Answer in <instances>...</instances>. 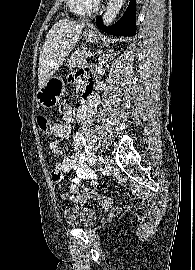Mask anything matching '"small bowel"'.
<instances>
[{
	"mask_svg": "<svg viewBox=\"0 0 195 270\" xmlns=\"http://www.w3.org/2000/svg\"><path fill=\"white\" fill-rule=\"evenodd\" d=\"M87 79V83L94 82L93 75L89 72L81 75ZM72 79V78H71ZM97 100L94 96L90 104L80 106L76 112V120L79 131L74 136V153L69 154L62 160H58L52 169V180L59 186V191L63 197L74 202H81L84 196L80 193L78 186H95L98 184V174L93 169L95 164V153L93 144L95 134L92 128L95 116ZM73 120V109L70 104H65L62 111V122L56 124L53 130L54 139L49 143L50 151L57 155L59 144L68 139L71 134V124ZM67 173V175H64ZM63 183H69L70 195L62 188Z\"/></svg>",
	"mask_w": 195,
	"mask_h": 270,
	"instance_id": "small-bowel-1",
	"label": "small bowel"
}]
</instances>
